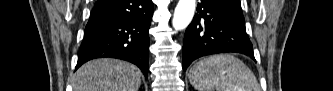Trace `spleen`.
<instances>
[{
	"mask_svg": "<svg viewBox=\"0 0 333 91\" xmlns=\"http://www.w3.org/2000/svg\"><path fill=\"white\" fill-rule=\"evenodd\" d=\"M188 78L197 91H260L252 71L231 54L200 60L190 69Z\"/></svg>",
	"mask_w": 333,
	"mask_h": 91,
	"instance_id": "obj_1",
	"label": "spleen"
}]
</instances>
